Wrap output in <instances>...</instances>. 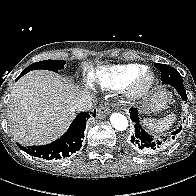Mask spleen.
Masks as SVG:
<instances>
[{
  "label": "spleen",
  "mask_w": 196,
  "mask_h": 196,
  "mask_svg": "<svg viewBox=\"0 0 196 196\" xmlns=\"http://www.w3.org/2000/svg\"><path fill=\"white\" fill-rule=\"evenodd\" d=\"M176 120L175 114L171 113L161 119H148L144 118L142 121L143 126L151 132L161 133L169 129Z\"/></svg>",
  "instance_id": "obj_1"
}]
</instances>
